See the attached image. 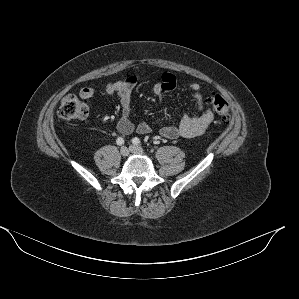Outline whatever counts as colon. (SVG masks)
Returning a JSON list of instances; mask_svg holds the SVG:
<instances>
[{
  "mask_svg": "<svg viewBox=\"0 0 299 299\" xmlns=\"http://www.w3.org/2000/svg\"><path fill=\"white\" fill-rule=\"evenodd\" d=\"M210 104L220 117V120L225 124H229L231 118L227 101L221 95H213L210 97ZM88 114L89 107L86 102L74 94L66 95L58 109V116L67 121H81L84 120Z\"/></svg>",
  "mask_w": 299,
  "mask_h": 299,
  "instance_id": "colon-1",
  "label": "colon"
}]
</instances>
